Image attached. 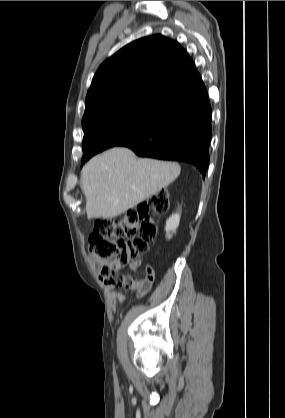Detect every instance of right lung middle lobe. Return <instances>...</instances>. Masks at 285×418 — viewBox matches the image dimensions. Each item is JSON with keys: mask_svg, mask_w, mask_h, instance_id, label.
I'll return each instance as SVG.
<instances>
[{"mask_svg": "<svg viewBox=\"0 0 285 418\" xmlns=\"http://www.w3.org/2000/svg\"><path fill=\"white\" fill-rule=\"evenodd\" d=\"M168 108L150 101L134 100L107 105L83 117L81 163L137 135L158 120Z\"/></svg>", "mask_w": 285, "mask_h": 418, "instance_id": "dd1d6c3e", "label": "right lung middle lobe"}]
</instances>
